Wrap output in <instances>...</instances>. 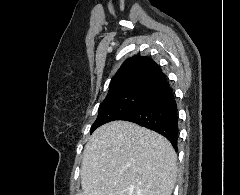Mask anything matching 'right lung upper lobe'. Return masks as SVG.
Segmentation results:
<instances>
[{
	"label": "right lung upper lobe",
	"mask_w": 240,
	"mask_h": 195,
	"mask_svg": "<svg viewBox=\"0 0 240 195\" xmlns=\"http://www.w3.org/2000/svg\"><path fill=\"white\" fill-rule=\"evenodd\" d=\"M166 80L157 63L146 56H133L121 65L112 78L108 95L132 92L147 94Z\"/></svg>",
	"instance_id": "right-lung-upper-lobe-1"
}]
</instances>
